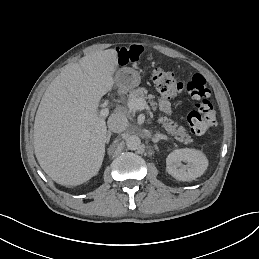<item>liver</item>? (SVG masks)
<instances>
[{"label": "liver", "instance_id": "6515ba94", "mask_svg": "<svg viewBox=\"0 0 259 259\" xmlns=\"http://www.w3.org/2000/svg\"><path fill=\"white\" fill-rule=\"evenodd\" d=\"M118 52L96 50L66 65L39 104L33 144L41 168L61 185L97 175L105 156L107 126L98 102L114 88Z\"/></svg>", "mask_w": 259, "mask_h": 259}]
</instances>
